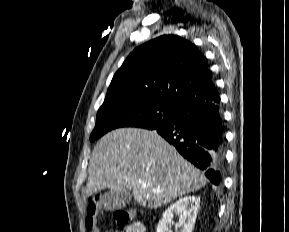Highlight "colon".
<instances>
[{
    "label": "colon",
    "instance_id": "1",
    "mask_svg": "<svg viewBox=\"0 0 289 232\" xmlns=\"http://www.w3.org/2000/svg\"><path fill=\"white\" fill-rule=\"evenodd\" d=\"M100 213V200L98 197L90 199L86 208L85 226L89 232H98L96 222ZM133 213L129 209H117L113 211L116 224L123 228L130 224Z\"/></svg>",
    "mask_w": 289,
    "mask_h": 232
}]
</instances>
